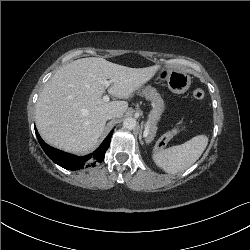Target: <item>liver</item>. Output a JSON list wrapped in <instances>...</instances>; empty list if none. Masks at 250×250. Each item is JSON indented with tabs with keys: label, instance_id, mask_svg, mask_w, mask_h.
I'll return each mask as SVG.
<instances>
[{
	"label": "liver",
	"instance_id": "1",
	"mask_svg": "<svg viewBox=\"0 0 250 250\" xmlns=\"http://www.w3.org/2000/svg\"><path fill=\"white\" fill-rule=\"evenodd\" d=\"M158 65L130 68L103 58L75 60L61 67L45 84L36 103V125L41 137L66 152L82 154L91 151L102 135L106 114L115 110L122 117L128 102H105L107 88L114 97L128 99L158 71Z\"/></svg>",
	"mask_w": 250,
	"mask_h": 250
}]
</instances>
